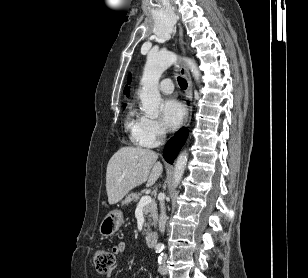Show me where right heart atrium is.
Wrapping results in <instances>:
<instances>
[{
	"instance_id": "right-heart-atrium-1",
	"label": "right heart atrium",
	"mask_w": 308,
	"mask_h": 278,
	"mask_svg": "<svg viewBox=\"0 0 308 278\" xmlns=\"http://www.w3.org/2000/svg\"><path fill=\"white\" fill-rule=\"evenodd\" d=\"M166 133L167 131L160 121L145 117L141 137L143 146H158L166 137Z\"/></svg>"
}]
</instances>
